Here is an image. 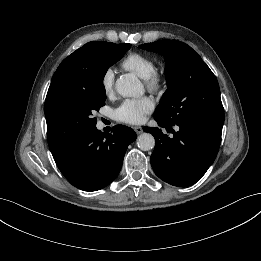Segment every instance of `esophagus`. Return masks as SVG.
<instances>
[{
	"instance_id": "obj_1",
	"label": "esophagus",
	"mask_w": 261,
	"mask_h": 261,
	"mask_svg": "<svg viewBox=\"0 0 261 261\" xmlns=\"http://www.w3.org/2000/svg\"><path fill=\"white\" fill-rule=\"evenodd\" d=\"M134 130H135V132H136L137 134H141V133L143 132V128L140 127V126H135V127H134Z\"/></svg>"
}]
</instances>
